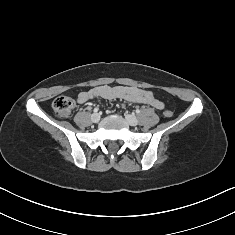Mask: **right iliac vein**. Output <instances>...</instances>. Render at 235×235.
Masks as SVG:
<instances>
[{
    "instance_id": "right-iliac-vein-1",
    "label": "right iliac vein",
    "mask_w": 235,
    "mask_h": 235,
    "mask_svg": "<svg viewBox=\"0 0 235 235\" xmlns=\"http://www.w3.org/2000/svg\"><path fill=\"white\" fill-rule=\"evenodd\" d=\"M91 120H92V122H94V123L99 122V120H100V115H99L98 113L92 114Z\"/></svg>"
}]
</instances>
